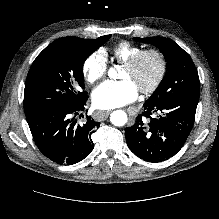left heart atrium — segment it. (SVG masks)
<instances>
[{"label": "left heart atrium", "mask_w": 219, "mask_h": 219, "mask_svg": "<svg viewBox=\"0 0 219 219\" xmlns=\"http://www.w3.org/2000/svg\"><path fill=\"white\" fill-rule=\"evenodd\" d=\"M138 90L129 80L106 81L93 91L92 101L99 109L121 107L135 101Z\"/></svg>", "instance_id": "obj_1"}]
</instances>
